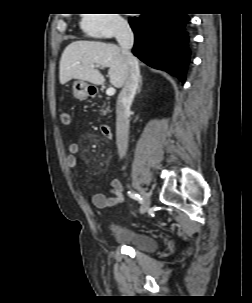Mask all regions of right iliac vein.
I'll list each match as a JSON object with an SVG mask.
<instances>
[{
  "label": "right iliac vein",
  "instance_id": "63e3f726",
  "mask_svg": "<svg viewBox=\"0 0 252 303\" xmlns=\"http://www.w3.org/2000/svg\"><path fill=\"white\" fill-rule=\"evenodd\" d=\"M139 193L143 198L142 205L140 207V213L144 214L148 211L151 200L149 195H147L141 188H139Z\"/></svg>",
  "mask_w": 252,
  "mask_h": 303
}]
</instances>
